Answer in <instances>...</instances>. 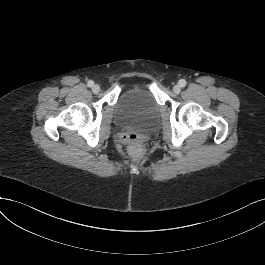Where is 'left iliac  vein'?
Segmentation results:
<instances>
[{"instance_id": "1", "label": "left iliac vein", "mask_w": 265, "mask_h": 265, "mask_svg": "<svg viewBox=\"0 0 265 265\" xmlns=\"http://www.w3.org/2000/svg\"><path fill=\"white\" fill-rule=\"evenodd\" d=\"M173 91L175 92V93H180V91H181V87H180V85H175L174 87H173Z\"/></svg>"}]
</instances>
